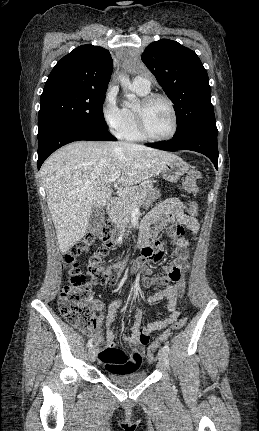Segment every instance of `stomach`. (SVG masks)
I'll list each match as a JSON object with an SVG mask.
<instances>
[{
	"instance_id": "obj_1",
	"label": "stomach",
	"mask_w": 259,
	"mask_h": 431,
	"mask_svg": "<svg viewBox=\"0 0 259 431\" xmlns=\"http://www.w3.org/2000/svg\"><path fill=\"white\" fill-rule=\"evenodd\" d=\"M190 168V165L181 158L169 161L160 170L162 177L172 183L177 182ZM160 197V191L152 188L143 202L144 206H149Z\"/></svg>"
}]
</instances>
